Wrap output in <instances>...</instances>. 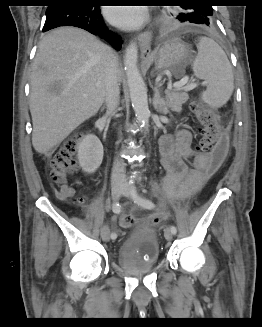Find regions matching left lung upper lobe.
Returning a JSON list of instances; mask_svg holds the SVG:
<instances>
[{"mask_svg": "<svg viewBox=\"0 0 262 327\" xmlns=\"http://www.w3.org/2000/svg\"><path fill=\"white\" fill-rule=\"evenodd\" d=\"M178 12L164 10L163 17L167 24L174 27L191 26L210 29L215 25L212 6L198 4L199 1L182 0Z\"/></svg>", "mask_w": 262, "mask_h": 327, "instance_id": "5c2ea615", "label": "left lung upper lobe"}]
</instances>
